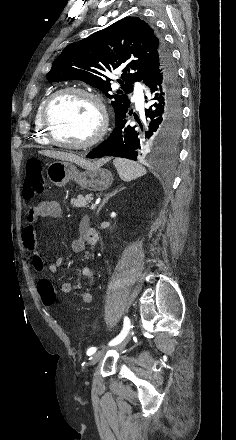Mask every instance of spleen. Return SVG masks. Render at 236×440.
Instances as JSON below:
<instances>
[{"mask_svg": "<svg viewBox=\"0 0 236 440\" xmlns=\"http://www.w3.org/2000/svg\"><path fill=\"white\" fill-rule=\"evenodd\" d=\"M115 168L123 181H132L146 174V169L139 163L122 158H115Z\"/></svg>", "mask_w": 236, "mask_h": 440, "instance_id": "3e777b00", "label": "spleen"}]
</instances>
